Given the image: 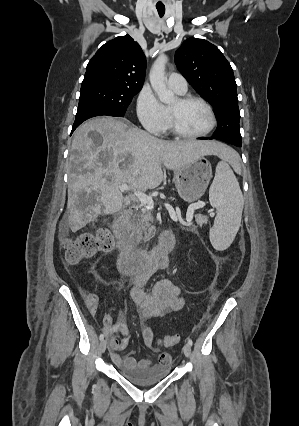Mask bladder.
Returning a JSON list of instances; mask_svg holds the SVG:
<instances>
[{
  "label": "bladder",
  "mask_w": 299,
  "mask_h": 426,
  "mask_svg": "<svg viewBox=\"0 0 299 426\" xmlns=\"http://www.w3.org/2000/svg\"><path fill=\"white\" fill-rule=\"evenodd\" d=\"M170 372L168 366H149L135 369H122L120 374L138 386H151L162 381Z\"/></svg>",
  "instance_id": "1"
}]
</instances>
